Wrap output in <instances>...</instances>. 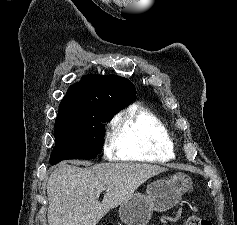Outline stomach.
<instances>
[{"label": "stomach", "instance_id": "stomach-1", "mask_svg": "<svg viewBox=\"0 0 237 225\" xmlns=\"http://www.w3.org/2000/svg\"><path fill=\"white\" fill-rule=\"evenodd\" d=\"M192 186L191 178L176 173L169 179H159L147 186L146 195L134 193L119 208V216L126 225H145L152 212H164L174 207Z\"/></svg>", "mask_w": 237, "mask_h": 225}]
</instances>
